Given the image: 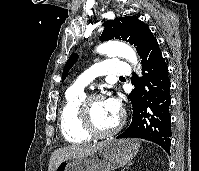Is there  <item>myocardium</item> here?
Segmentation results:
<instances>
[{"label":"myocardium","mask_w":199,"mask_h":171,"mask_svg":"<svg viewBox=\"0 0 199 171\" xmlns=\"http://www.w3.org/2000/svg\"><path fill=\"white\" fill-rule=\"evenodd\" d=\"M98 99H103V96L98 93H93L85 96L81 102L80 112L85 131L94 137H107L118 133L124 125L125 122L124 115H121L117 123L109 129L102 130L95 125L91 112V103Z\"/></svg>","instance_id":"1"}]
</instances>
